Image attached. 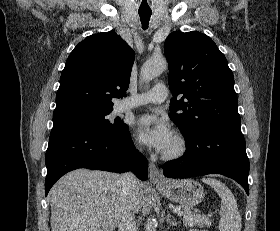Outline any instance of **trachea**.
<instances>
[{"label": "trachea", "instance_id": "3493384b", "mask_svg": "<svg viewBox=\"0 0 280 231\" xmlns=\"http://www.w3.org/2000/svg\"><path fill=\"white\" fill-rule=\"evenodd\" d=\"M140 20L142 23L143 30H146L148 28L149 20L152 15L151 10H139L138 11Z\"/></svg>", "mask_w": 280, "mask_h": 231}]
</instances>
